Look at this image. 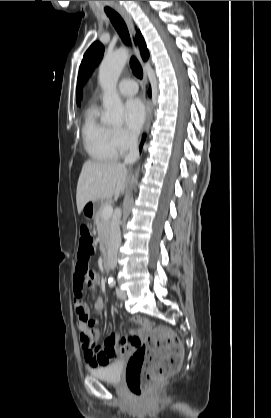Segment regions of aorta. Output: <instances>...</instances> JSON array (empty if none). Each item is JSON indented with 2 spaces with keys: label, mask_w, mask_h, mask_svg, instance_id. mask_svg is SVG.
<instances>
[{
  "label": "aorta",
  "mask_w": 271,
  "mask_h": 418,
  "mask_svg": "<svg viewBox=\"0 0 271 418\" xmlns=\"http://www.w3.org/2000/svg\"><path fill=\"white\" fill-rule=\"evenodd\" d=\"M127 59L128 52L120 49L105 56L99 67V83L104 90L103 106L105 112L102 120L112 125L119 126L123 123L124 107L118 96L116 85ZM137 176L138 172L132 178V183L136 182Z\"/></svg>",
  "instance_id": "762f6f07"
}]
</instances>
